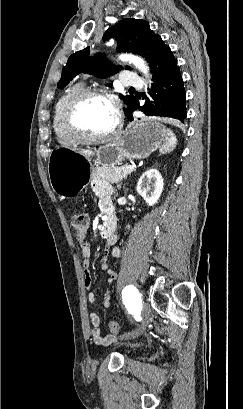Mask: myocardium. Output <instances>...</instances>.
I'll return each instance as SVG.
<instances>
[{"label": "myocardium", "mask_w": 243, "mask_h": 409, "mask_svg": "<svg viewBox=\"0 0 243 409\" xmlns=\"http://www.w3.org/2000/svg\"><path fill=\"white\" fill-rule=\"evenodd\" d=\"M100 99L107 102L113 110L115 122L113 127L98 135L86 134L76 121V113L82 102L88 99ZM63 124L68 133L80 142H101L109 139L117 133L120 128V112L117 102L112 94L96 88H83L74 93L66 102L63 110Z\"/></svg>", "instance_id": "myocardium-1"}]
</instances>
